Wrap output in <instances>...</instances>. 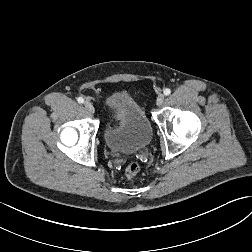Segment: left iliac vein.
<instances>
[{"mask_svg": "<svg viewBox=\"0 0 252 252\" xmlns=\"http://www.w3.org/2000/svg\"><path fill=\"white\" fill-rule=\"evenodd\" d=\"M164 102V95L163 94H159L156 100V104L157 106H161Z\"/></svg>", "mask_w": 252, "mask_h": 252, "instance_id": "1", "label": "left iliac vein"}]
</instances>
